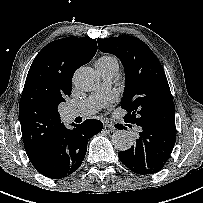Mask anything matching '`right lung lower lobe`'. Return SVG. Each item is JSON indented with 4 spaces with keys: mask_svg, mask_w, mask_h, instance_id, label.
Wrapping results in <instances>:
<instances>
[{
    "mask_svg": "<svg viewBox=\"0 0 203 203\" xmlns=\"http://www.w3.org/2000/svg\"><path fill=\"white\" fill-rule=\"evenodd\" d=\"M72 125V129L63 125L45 154L32 163L39 173L51 179L73 173L84 160L88 141L103 128L102 122L94 119Z\"/></svg>",
    "mask_w": 203,
    "mask_h": 203,
    "instance_id": "98d812e1",
    "label": "right lung lower lobe"
}]
</instances>
